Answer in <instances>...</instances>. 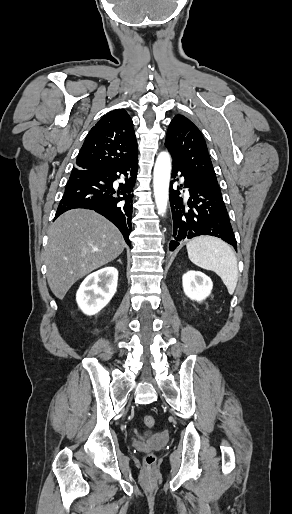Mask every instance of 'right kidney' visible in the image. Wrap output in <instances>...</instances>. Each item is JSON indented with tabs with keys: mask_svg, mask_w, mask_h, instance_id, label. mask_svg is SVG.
I'll use <instances>...</instances> for the list:
<instances>
[{
	"mask_svg": "<svg viewBox=\"0 0 292 514\" xmlns=\"http://www.w3.org/2000/svg\"><path fill=\"white\" fill-rule=\"evenodd\" d=\"M117 280L118 270L111 266L85 278L76 294L77 304L84 314L93 316L107 306L116 292Z\"/></svg>",
	"mask_w": 292,
	"mask_h": 514,
	"instance_id": "1",
	"label": "right kidney"
}]
</instances>
